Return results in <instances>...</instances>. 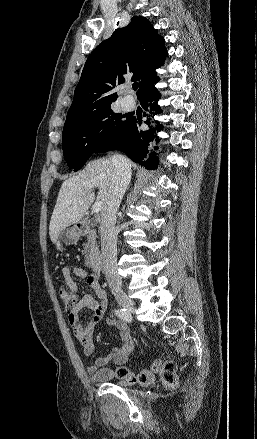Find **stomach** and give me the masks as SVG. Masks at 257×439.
I'll use <instances>...</instances> for the list:
<instances>
[{
  "mask_svg": "<svg viewBox=\"0 0 257 439\" xmlns=\"http://www.w3.org/2000/svg\"><path fill=\"white\" fill-rule=\"evenodd\" d=\"M79 237H80V231L77 228V226H73V227H69V228L64 229L61 232L57 242L55 243L56 250L62 251L63 244H66V245L73 244L76 241H78Z\"/></svg>",
  "mask_w": 257,
  "mask_h": 439,
  "instance_id": "stomach-1",
  "label": "stomach"
}]
</instances>
